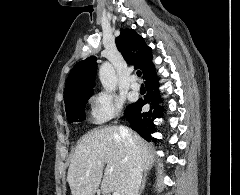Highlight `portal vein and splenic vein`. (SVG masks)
<instances>
[{
    "mask_svg": "<svg viewBox=\"0 0 240 195\" xmlns=\"http://www.w3.org/2000/svg\"><path fill=\"white\" fill-rule=\"evenodd\" d=\"M112 195H120V193H118V191H113Z\"/></svg>",
    "mask_w": 240,
    "mask_h": 195,
    "instance_id": "1",
    "label": "portal vein and splenic vein"
}]
</instances>
